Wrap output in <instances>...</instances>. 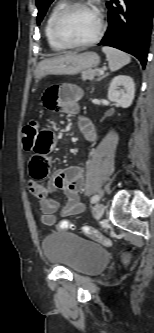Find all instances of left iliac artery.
<instances>
[{
	"mask_svg": "<svg viewBox=\"0 0 154 333\" xmlns=\"http://www.w3.org/2000/svg\"><path fill=\"white\" fill-rule=\"evenodd\" d=\"M97 201H99V196H98V195H94V196L91 198V203L94 204V203H96Z\"/></svg>",
	"mask_w": 154,
	"mask_h": 333,
	"instance_id": "obj_1",
	"label": "left iliac artery"
}]
</instances>
